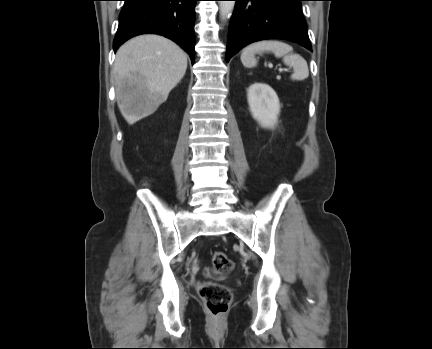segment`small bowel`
<instances>
[{"mask_svg": "<svg viewBox=\"0 0 432 349\" xmlns=\"http://www.w3.org/2000/svg\"><path fill=\"white\" fill-rule=\"evenodd\" d=\"M207 274L210 275V276H218L217 273H215V272H213L211 270H207Z\"/></svg>", "mask_w": 432, "mask_h": 349, "instance_id": "c3829d8e", "label": "small bowel"}]
</instances>
